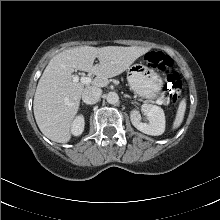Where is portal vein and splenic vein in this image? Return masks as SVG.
<instances>
[{
    "label": "portal vein and splenic vein",
    "instance_id": "18ae733b",
    "mask_svg": "<svg viewBox=\"0 0 220 220\" xmlns=\"http://www.w3.org/2000/svg\"><path fill=\"white\" fill-rule=\"evenodd\" d=\"M79 81L83 84L88 85L92 82V79L90 77H84V76L79 78L77 75H74L73 76V82H79ZM156 103L159 104V105L163 104V102L161 100H156Z\"/></svg>",
    "mask_w": 220,
    "mask_h": 220
}]
</instances>
